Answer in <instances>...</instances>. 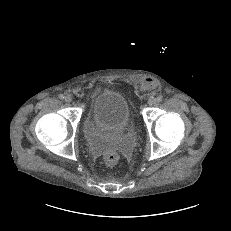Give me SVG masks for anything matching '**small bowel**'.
<instances>
[{
	"label": "small bowel",
	"mask_w": 231,
	"mask_h": 231,
	"mask_svg": "<svg viewBox=\"0 0 231 231\" xmlns=\"http://www.w3.org/2000/svg\"><path fill=\"white\" fill-rule=\"evenodd\" d=\"M93 133H94V128L92 127L91 124H88V126H87V134H88V136L91 138V141H92V143H93V146H94L96 149H98L100 146H99V144L97 143V141L93 139Z\"/></svg>",
	"instance_id": "small-bowel-1"
}]
</instances>
